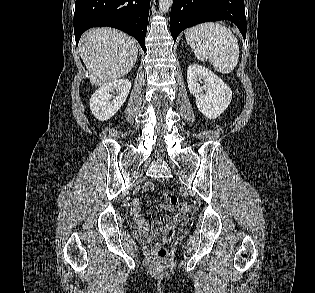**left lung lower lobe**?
<instances>
[{
    "instance_id": "obj_1",
    "label": "left lung lower lobe",
    "mask_w": 315,
    "mask_h": 293,
    "mask_svg": "<svg viewBox=\"0 0 315 293\" xmlns=\"http://www.w3.org/2000/svg\"><path fill=\"white\" fill-rule=\"evenodd\" d=\"M229 20L246 37L244 0H174L170 30L174 42L186 28L209 21Z\"/></svg>"
}]
</instances>
